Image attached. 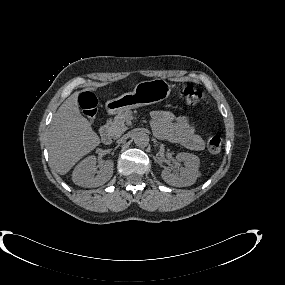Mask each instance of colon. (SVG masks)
Instances as JSON below:
<instances>
[{
    "mask_svg": "<svg viewBox=\"0 0 285 285\" xmlns=\"http://www.w3.org/2000/svg\"><path fill=\"white\" fill-rule=\"evenodd\" d=\"M181 100L186 106H194L202 99V93L192 86H186L181 90ZM80 105L85 115L93 119L97 112V100L91 93H83L80 96ZM207 150L216 154L219 153L222 147V138L219 135H213L206 142Z\"/></svg>",
    "mask_w": 285,
    "mask_h": 285,
    "instance_id": "colon-1",
    "label": "colon"
}]
</instances>
